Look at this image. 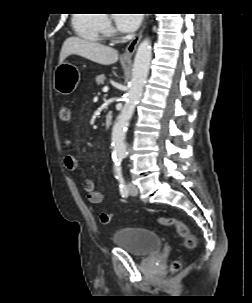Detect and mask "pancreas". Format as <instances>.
Instances as JSON below:
<instances>
[{
    "mask_svg": "<svg viewBox=\"0 0 252 303\" xmlns=\"http://www.w3.org/2000/svg\"><path fill=\"white\" fill-rule=\"evenodd\" d=\"M105 79H106L105 75L101 74V75L96 76L95 81H96L97 85H103Z\"/></svg>",
    "mask_w": 252,
    "mask_h": 303,
    "instance_id": "cf45deb5",
    "label": "pancreas"
}]
</instances>
